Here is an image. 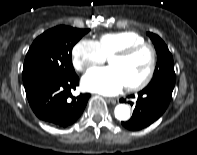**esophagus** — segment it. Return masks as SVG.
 Here are the masks:
<instances>
[{
    "label": "esophagus",
    "instance_id": "1",
    "mask_svg": "<svg viewBox=\"0 0 197 155\" xmlns=\"http://www.w3.org/2000/svg\"><path fill=\"white\" fill-rule=\"evenodd\" d=\"M108 102L112 103V104H116L118 103V100L117 99H106Z\"/></svg>",
    "mask_w": 197,
    "mask_h": 155
}]
</instances>
